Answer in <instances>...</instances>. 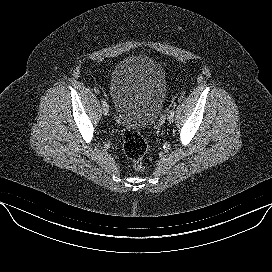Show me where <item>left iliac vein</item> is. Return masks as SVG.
<instances>
[{
	"label": "left iliac vein",
	"instance_id": "obj_1",
	"mask_svg": "<svg viewBox=\"0 0 272 272\" xmlns=\"http://www.w3.org/2000/svg\"><path fill=\"white\" fill-rule=\"evenodd\" d=\"M174 115H171L170 113L167 115V120L169 123L173 122Z\"/></svg>",
	"mask_w": 272,
	"mask_h": 272
}]
</instances>
